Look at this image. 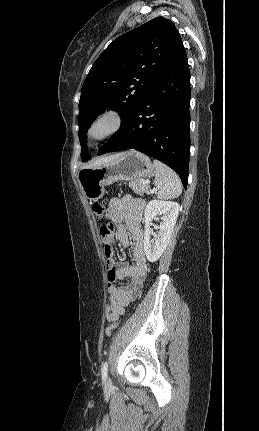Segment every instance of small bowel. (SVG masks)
<instances>
[{
  "label": "small bowel",
  "mask_w": 259,
  "mask_h": 431,
  "mask_svg": "<svg viewBox=\"0 0 259 431\" xmlns=\"http://www.w3.org/2000/svg\"><path fill=\"white\" fill-rule=\"evenodd\" d=\"M145 202L134 198H112L109 201L107 217L118 225L117 238L125 248H131L132 263L117 262L113 255L111 241L109 252L105 253L108 277L109 303L106 319L117 321L124 313L125 307L132 303L141 293L146 277L148 263L143 247L142 213ZM130 279L125 286L117 281Z\"/></svg>",
  "instance_id": "small-bowel-1"
}]
</instances>
